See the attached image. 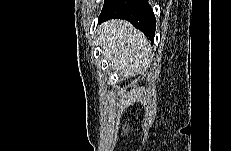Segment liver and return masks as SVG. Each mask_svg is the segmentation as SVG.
Returning a JSON list of instances; mask_svg holds the SVG:
<instances>
[{
    "label": "liver",
    "mask_w": 231,
    "mask_h": 151,
    "mask_svg": "<svg viewBox=\"0 0 231 151\" xmlns=\"http://www.w3.org/2000/svg\"><path fill=\"white\" fill-rule=\"evenodd\" d=\"M98 40L105 57L123 79L133 77L150 63V45L142 32L125 20L100 25Z\"/></svg>",
    "instance_id": "1"
}]
</instances>
